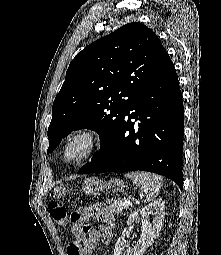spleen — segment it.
<instances>
[{
    "label": "spleen",
    "instance_id": "spleen-1",
    "mask_svg": "<svg viewBox=\"0 0 221 255\" xmlns=\"http://www.w3.org/2000/svg\"><path fill=\"white\" fill-rule=\"evenodd\" d=\"M125 177L132 180L145 193L146 199H155L163 184V178L157 174L148 172H132L125 174Z\"/></svg>",
    "mask_w": 221,
    "mask_h": 255
}]
</instances>
